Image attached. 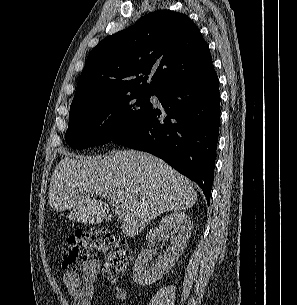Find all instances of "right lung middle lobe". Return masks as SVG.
<instances>
[{
  "label": "right lung middle lobe",
  "mask_w": 297,
  "mask_h": 305,
  "mask_svg": "<svg viewBox=\"0 0 297 305\" xmlns=\"http://www.w3.org/2000/svg\"><path fill=\"white\" fill-rule=\"evenodd\" d=\"M150 91H130L70 108L66 143L76 149L98 146L151 113Z\"/></svg>",
  "instance_id": "obj_1"
}]
</instances>
